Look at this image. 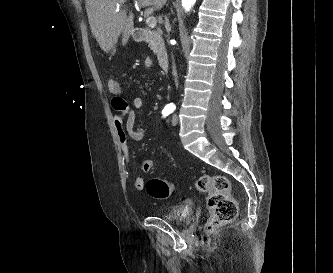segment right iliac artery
I'll return each mask as SVG.
<instances>
[{"label":"right iliac artery","instance_id":"obj_1","mask_svg":"<svg viewBox=\"0 0 333 273\" xmlns=\"http://www.w3.org/2000/svg\"><path fill=\"white\" fill-rule=\"evenodd\" d=\"M175 110V108L173 106L170 105H166L164 107V109L162 110V115L163 117H167L168 115H170L173 111Z\"/></svg>","mask_w":333,"mask_h":273}]
</instances>
